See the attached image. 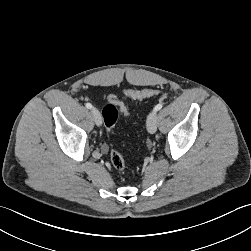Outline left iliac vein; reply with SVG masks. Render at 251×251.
I'll return each mask as SVG.
<instances>
[{
  "mask_svg": "<svg viewBox=\"0 0 251 251\" xmlns=\"http://www.w3.org/2000/svg\"><path fill=\"white\" fill-rule=\"evenodd\" d=\"M147 130L149 133L154 134L157 130V114L156 111H152L146 121Z\"/></svg>",
  "mask_w": 251,
  "mask_h": 251,
  "instance_id": "left-iliac-vein-1",
  "label": "left iliac vein"
}]
</instances>
